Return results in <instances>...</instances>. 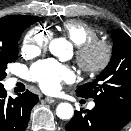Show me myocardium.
Segmentation results:
<instances>
[{
  "mask_svg": "<svg viewBox=\"0 0 131 131\" xmlns=\"http://www.w3.org/2000/svg\"><path fill=\"white\" fill-rule=\"evenodd\" d=\"M95 53L100 57L97 61L93 60ZM113 58L112 45L100 38H94L83 42L76 47V61L80 69L90 75L102 73L110 65Z\"/></svg>",
  "mask_w": 131,
  "mask_h": 131,
  "instance_id": "f54148a6",
  "label": "myocardium"
}]
</instances>
